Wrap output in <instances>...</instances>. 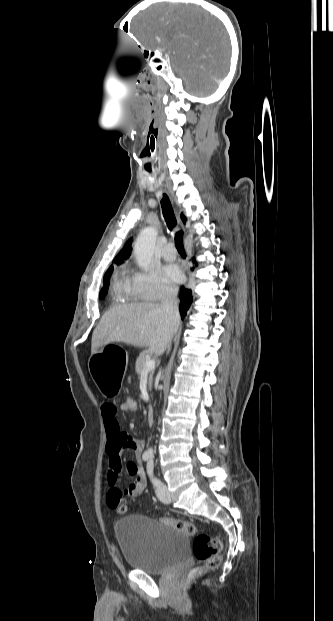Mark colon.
<instances>
[{"mask_svg":"<svg viewBox=\"0 0 333 621\" xmlns=\"http://www.w3.org/2000/svg\"><path fill=\"white\" fill-rule=\"evenodd\" d=\"M120 407L123 411L134 413L138 409V403L134 394L121 396ZM118 513H125L127 508L124 503H119L115 508ZM161 521L188 536H194L193 552L195 558L202 564L191 570L189 579L201 577L207 572L216 570L221 563L222 542L218 537L206 533H197L196 526L184 520L164 517Z\"/></svg>","mask_w":333,"mask_h":621,"instance_id":"5ec220e1","label":"colon"}]
</instances>
